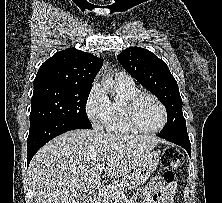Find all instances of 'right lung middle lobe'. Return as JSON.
<instances>
[{"instance_id": "1", "label": "right lung middle lobe", "mask_w": 222, "mask_h": 203, "mask_svg": "<svg viewBox=\"0 0 222 203\" xmlns=\"http://www.w3.org/2000/svg\"><path fill=\"white\" fill-rule=\"evenodd\" d=\"M91 89L92 87L53 86L34 91L30 125L49 119L91 124L85 109Z\"/></svg>"}]
</instances>
